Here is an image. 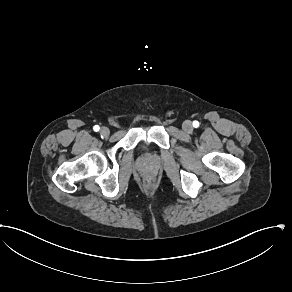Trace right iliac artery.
Masks as SVG:
<instances>
[{"instance_id":"1","label":"right iliac artery","mask_w":292,"mask_h":292,"mask_svg":"<svg viewBox=\"0 0 292 292\" xmlns=\"http://www.w3.org/2000/svg\"><path fill=\"white\" fill-rule=\"evenodd\" d=\"M93 129H94V131H99V129H100V127L98 126V125H95L94 127H93Z\"/></svg>"}]
</instances>
